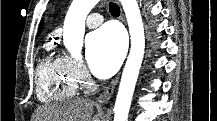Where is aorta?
<instances>
[{
  "label": "aorta",
  "mask_w": 217,
  "mask_h": 121,
  "mask_svg": "<svg viewBox=\"0 0 217 121\" xmlns=\"http://www.w3.org/2000/svg\"><path fill=\"white\" fill-rule=\"evenodd\" d=\"M99 0H73L64 21L63 42L76 58H81L85 33V20ZM131 36V49L123 70L114 107V121H127L129 109L141 68L144 49V27L137 0H120Z\"/></svg>",
  "instance_id": "obj_1"
}]
</instances>
